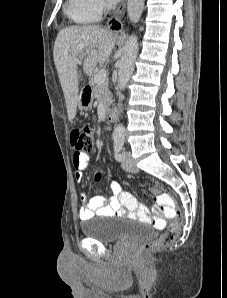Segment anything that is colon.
Returning a JSON list of instances; mask_svg holds the SVG:
<instances>
[{"mask_svg":"<svg viewBox=\"0 0 227 298\" xmlns=\"http://www.w3.org/2000/svg\"><path fill=\"white\" fill-rule=\"evenodd\" d=\"M71 144L74 150L91 151L94 144L93 129L87 125L75 127L71 132ZM149 194H158L159 205L156 207L155 212H163L165 218L170 219L171 223L160 237L141 245L139 248L140 254H147L170 245L179 235L183 224L182 213L176 208L169 194L160 193L159 186L149 189ZM150 223L157 228H161L164 226L165 220L156 215L150 219Z\"/></svg>","mask_w":227,"mask_h":298,"instance_id":"1","label":"colon"}]
</instances>
